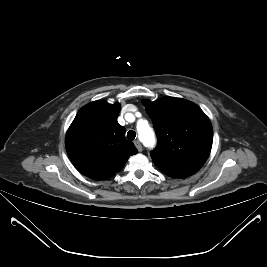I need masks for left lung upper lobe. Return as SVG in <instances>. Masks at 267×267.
<instances>
[{
  "label": "left lung upper lobe",
  "instance_id": "1",
  "mask_svg": "<svg viewBox=\"0 0 267 267\" xmlns=\"http://www.w3.org/2000/svg\"><path fill=\"white\" fill-rule=\"evenodd\" d=\"M143 103L158 138L157 147L151 152L154 164L173 178L197 172L206 162L213 142L212 125L206 114L181 98Z\"/></svg>",
  "mask_w": 267,
  "mask_h": 267
}]
</instances>
